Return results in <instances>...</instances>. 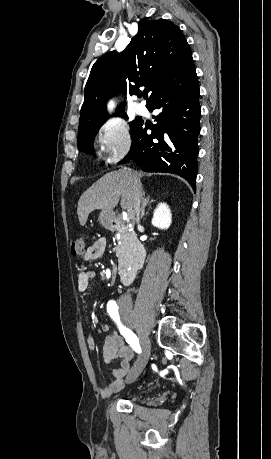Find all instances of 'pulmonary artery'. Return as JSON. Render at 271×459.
<instances>
[{
    "label": "pulmonary artery",
    "mask_w": 271,
    "mask_h": 459,
    "mask_svg": "<svg viewBox=\"0 0 271 459\" xmlns=\"http://www.w3.org/2000/svg\"><path fill=\"white\" fill-rule=\"evenodd\" d=\"M134 113L137 115L147 116L149 112L144 103L136 102L134 105Z\"/></svg>",
    "instance_id": "pulmonary-artery-1"
}]
</instances>
